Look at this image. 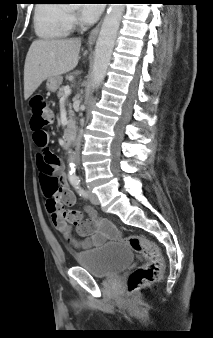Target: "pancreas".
I'll list each match as a JSON object with an SVG mask.
<instances>
[{"label":"pancreas","instance_id":"obj_1","mask_svg":"<svg viewBox=\"0 0 213 338\" xmlns=\"http://www.w3.org/2000/svg\"><path fill=\"white\" fill-rule=\"evenodd\" d=\"M64 96V87L59 88V91L57 92V97L62 98ZM74 116V112L72 110L71 104H69V118L72 119Z\"/></svg>","mask_w":213,"mask_h":338}]
</instances>
